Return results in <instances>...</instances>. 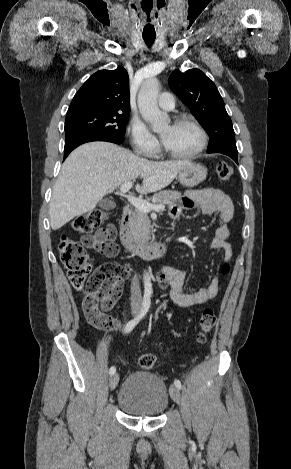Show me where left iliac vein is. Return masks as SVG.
Masks as SVG:
<instances>
[{"mask_svg": "<svg viewBox=\"0 0 291 469\" xmlns=\"http://www.w3.org/2000/svg\"><path fill=\"white\" fill-rule=\"evenodd\" d=\"M170 394H171V397L174 400V402H176L177 404H180L181 394H180V390L177 386H175V385L170 386Z\"/></svg>", "mask_w": 291, "mask_h": 469, "instance_id": "obj_1", "label": "left iliac vein"}]
</instances>
